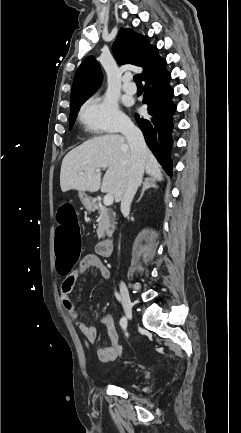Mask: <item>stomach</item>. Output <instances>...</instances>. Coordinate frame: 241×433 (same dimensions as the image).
Masks as SVG:
<instances>
[{
	"label": "stomach",
	"instance_id": "1",
	"mask_svg": "<svg viewBox=\"0 0 241 433\" xmlns=\"http://www.w3.org/2000/svg\"><path fill=\"white\" fill-rule=\"evenodd\" d=\"M79 198H80L83 206L87 210H92L93 209V201H92V199L87 194H85L84 192H79Z\"/></svg>",
	"mask_w": 241,
	"mask_h": 433
}]
</instances>
